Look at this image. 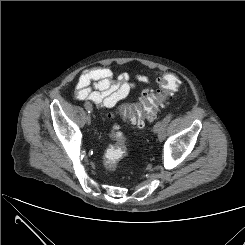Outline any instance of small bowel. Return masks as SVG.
<instances>
[{
	"label": "small bowel",
	"mask_w": 245,
	"mask_h": 245,
	"mask_svg": "<svg viewBox=\"0 0 245 245\" xmlns=\"http://www.w3.org/2000/svg\"><path fill=\"white\" fill-rule=\"evenodd\" d=\"M113 71L107 66H98L84 71L79 77L74 97L86 100L101 108L114 107L126 98L135 88V82L129 74L122 73L113 80ZM138 81L147 83L148 77L140 75Z\"/></svg>",
	"instance_id": "1"
}]
</instances>
